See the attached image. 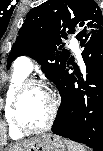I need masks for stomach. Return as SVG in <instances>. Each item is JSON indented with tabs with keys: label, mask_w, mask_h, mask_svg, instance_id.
Here are the masks:
<instances>
[{
	"label": "stomach",
	"mask_w": 103,
	"mask_h": 151,
	"mask_svg": "<svg viewBox=\"0 0 103 151\" xmlns=\"http://www.w3.org/2000/svg\"><path fill=\"white\" fill-rule=\"evenodd\" d=\"M26 151H66V146L60 137L45 134L37 137Z\"/></svg>",
	"instance_id": "0dacf381"
}]
</instances>
